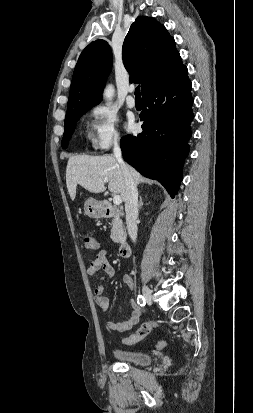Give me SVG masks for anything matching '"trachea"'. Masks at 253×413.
Instances as JSON below:
<instances>
[{"instance_id":"3493384b","label":"trachea","mask_w":253,"mask_h":413,"mask_svg":"<svg viewBox=\"0 0 253 413\" xmlns=\"http://www.w3.org/2000/svg\"><path fill=\"white\" fill-rule=\"evenodd\" d=\"M135 97H136V98H141L140 86H137V87L135 88Z\"/></svg>"}]
</instances>
